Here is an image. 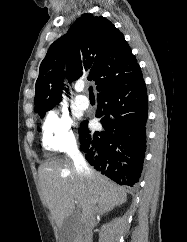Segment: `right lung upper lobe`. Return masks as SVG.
Wrapping results in <instances>:
<instances>
[{
	"instance_id": "cb5924a9",
	"label": "right lung upper lobe",
	"mask_w": 187,
	"mask_h": 242,
	"mask_svg": "<svg viewBox=\"0 0 187 242\" xmlns=\"http://www.w3.org/2000/svg\"><path fill=\"white\" fill-rule=\"evenodd\" d=\"M85 75L95 82L99 93L142 75L124 35L102 16L83 14L50 46L36 81V113L42 114L62 100L64 79L71 82Z\"/></svg>"
}]
</instances>
